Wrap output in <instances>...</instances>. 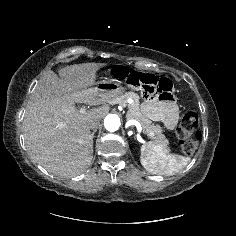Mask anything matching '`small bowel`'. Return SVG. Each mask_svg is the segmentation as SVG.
<instances>
[{"mask_svg": "<svg viewBox=\"0 0 236 236\" xmlns=\"http://www.w3.org/2000/svg\"><path fill=\"white\" fill-rule=\"evenodd\" d=\"M145 108L152 119L164 123L167 129H173L178 121V111L174 102L166 97L145 102Z\"/></svg>", "mask_w": 236, "mask_h": 236, "instance_id": "c3829d8e", "label": "small bowel"}]
</instances>
